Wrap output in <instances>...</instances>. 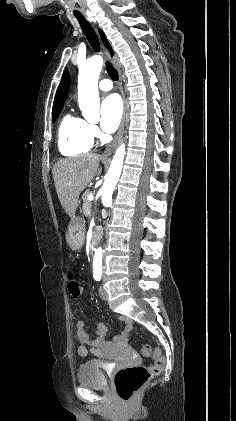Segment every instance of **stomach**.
Wrapping results in <instances>:
<instances>
[{
	"instance_id": "stomach-1",
	"label": "stomach",
	"mask_w": 236,
	"mask_h": 421,
	"mask_svg": "<svg viewBox=\"0 0 236 421\" xmlns=\"http://www.w3.org/2000/svg\"><path fill=\"white\" fill-rule=\"evenodd\" d=\"M66 241L72 251H78L85 241V221L82 217H71L66 233Z\"/></svg>"
}]
</instances>
